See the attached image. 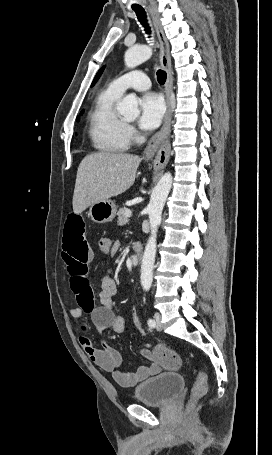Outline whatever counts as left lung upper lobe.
Returning <instances> with one entry per match:
<instances>
[{
  "label": "left lung upper lobe",
  "mask_w": 272,
  "mask_h": 455,
  "mask_svg": "<svg viewBox=\"0 0 272 455\" xmlns=\"http://www.w3.org/2000/svg\"><path fill=\"white\" fill-rule=\"evenodd\" d=\"M103 69H104V68H101V69L99 70V72L97 73V75L95 76L94 81H93V83H92V86L96 83V81L98 80V78H99L100 75L102 74Z\"/></svg>",
  "instance_id": "left-lung-upper-lobe-1"
}]
</instances>
